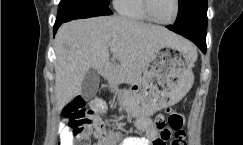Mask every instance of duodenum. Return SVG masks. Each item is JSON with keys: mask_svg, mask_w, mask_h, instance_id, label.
<instances>
[{"mask_svg": "<svg viewBox=\"0 0 243 145\" xmlns=\"http://www.w3.org/2000/svg\"><path fill=\"white\" fill-rule=\"evenodd\" d=\"M111 73V67L109 65H103L100 68V74L102 77L107 78Z\"/></svg>", "mask_w": 243, "mask_h": 145, "instance_id": "obj_1", "label": "duodenum"}]
</instances>
